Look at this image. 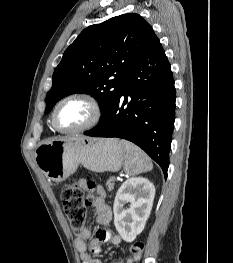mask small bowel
Listing matches in <instances>:
<instances>
[{
    "label": "small bowel",
    "instance_id": "1",
    "mask_svg": "<svg viewBox=\"0 0 233 263\" xmlns=\"http://www.w3.org/2000/svg\"><path fill=\"white\" fill-rule=\"evenodd\" d=\"M81 187L85 189V182L81 181ZM92 205L96 209V221L100 225H108L112 220V211L109 204L106 202V194L104 190L99 187L97 196L92 200ZM90 231L84 228L75 239V246L80 255L82 263H101V261L92 255L98 253L102 243H111L112 245H119L122 241L120 235L113 234L109 229L101 227L98 228L95 236L89 241ZM113 263H132L130 258H119Z\"/></svg>",
    "mask_w": 233,
    "mask_h": 263
}]
</instances>
